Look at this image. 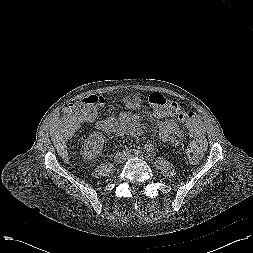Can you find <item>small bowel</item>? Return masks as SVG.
<instances>
[{
	"label": "small bowel",
	"instance_id": "1",
	"mask_svg": "<svg viewBox=\"0 0 253 253\" xmlns=\"http://www.w3.org/2000/svg\"><path fill=\"white\" fill-rule=\"evenodd\" d=\"M120 124L127 127L128 132L132 135H139L141 133V128L138 123V118L132 116L127 112H122L119 116ZM157 127L160 133V137L164 142L176 143L182 136V131L179 126L173 121H159ZM67 135L64 131H62ZM68 136V135H67ZM155 149L154 145L149 144L146 146L147 151H153Z\"/></svg>",
	"mask_w": 253,
	"mask_h": 253
}]
</instances>
